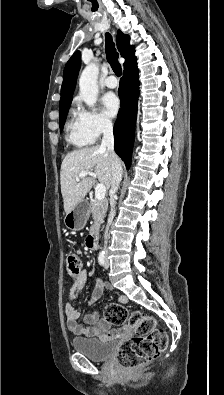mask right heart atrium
I'll return each mask as SVG.
<instances>
[{
  "label": "right heart atrium",
  "mask_w": 224,
  "mask_h": 395,
  "mask_svg": "<svg viewBox=\"0 0 224 395\" xmlns=\"http://www.w3.org/2000/svg\"><path fill=\"white\" fill-rule=\"evenodd\" d=\"M84 131L94 140L109 132L112 127V121L102 112L86 109L78 105L76 113Z\"/></svg>",
  "instance_id": "right-heart-atrium-1"
}]
</instances>
